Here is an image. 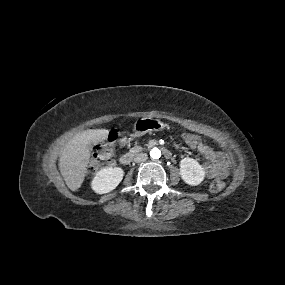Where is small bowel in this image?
I'll return each instance as SVG.
<instances>
[{
	"instance_id": "obj_1",
	"label": "small bowel",
	"mask_w": 285,
	"mask_h": 285,
	"mask_svg": "<svg viewBox=\"0 0 285 285\" xmlns=\"http://www.w3.org/2000/svg\"><path fill=\"white\" fill-rule=\"evenodd\" d=\"M198 150L207 160L205 170L208 177L215 178L227 175L228 163L221 153L213 150L206 144H204L203 148Z\"/></svg>"
}]
</instances>
